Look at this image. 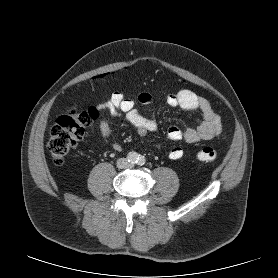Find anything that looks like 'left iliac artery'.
Listing matches in <instances>:
<instances>
[{
	"label": "left iliac artery",
	"instance_id": "left-iliac-artery-1",
	"mask_svg": "<svg viewBox=\"0 0 278 278\" xmlns=\"http://www.w3.org/2000/svg\"><path fill=\"white\" fill-rule=\"evenodd\" d=\"M145 162H146V160H145L144 156H139L138 157V160H137L138 165L142 166V165L145 164Z\"/></svg>",
	"mask_w": 278,
	"mask_h": 278
}]
</instances>
